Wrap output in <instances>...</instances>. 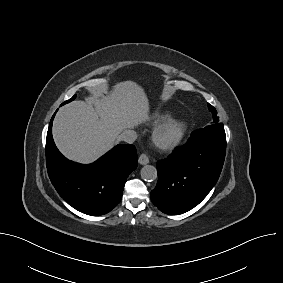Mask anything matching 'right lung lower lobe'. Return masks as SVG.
Segmentation results:
<instances>
[{"mask_svg": "<svg viewBox=\"0 0 283 283\" xmlns=\"http://www.w3.org/2000/svg\"><path fill=\"white\" fill-rule=\"evenodd\" d=\"M55 113L46 138V163L51 183L68 204L84 214L100 216L110 212L121 201L127 177L137 168L136 148L119 144L89 165L69 161L52 138Z\"/></svg>", "mask_w": 283, "mask_h": 283, "instance_id": "right-lung-lower-lobe-1", "label": "right lung lower lobe"}]
</instances>
